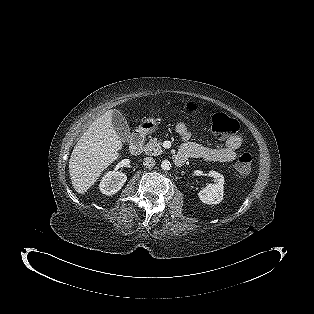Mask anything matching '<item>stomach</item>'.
Wrapping results in <instances>:
<instances>
[{"mask_svg":"<svg viewBox=\"0 0 314 314\" xmlns=\"http://www.w3.org/2000/svg\"><path fill=\"white\" fill-rule=\"evenodd\" d=\"M158 129V122L154 118H144L141 120L137 131L141 135L152 134Z\"/></svg>","mask_w":314,"mask_h":314,"instance_id":"stomach-1","label":"stomach"}]
</instances>
